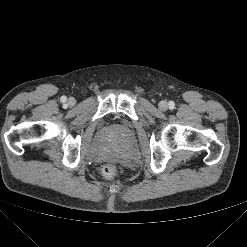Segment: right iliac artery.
Segmentation results:
<instances>
[{"label":"right iliac artery","instance_id":"82829eb1","mask_svg":"<svg viewBox=\"0 0 247 247\" xmlns=\"http://www.w3.org/2000/svg\"><path fill=\"white\" fill-rule=\"evenodd\" d=\"M61 101H62V102H65V101H66V97H65V96H62V97H61Z\"/></svg>","mask_w":247,"mask_h":247}]
</instances>
